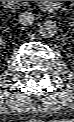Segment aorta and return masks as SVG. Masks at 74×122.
I'll return each mask as SVG.
<instances>
[{
    "label": "aorta",
    "instance_id": "aorta-1",
    "mask_svg": "<svg viewBox=\"0 0 74 122\" xmlns=\"http://www.w3.org/2000/svg\"><path fill=\"white\" fill-rule=\"evenodd\" d=\"M39 32L41 36L44 38L53 37L57 32L56 23L52 20H47L43 22L40 26Z\"/></svg>",
    "mask_w": 74,
    "mask_h": 122
}]
</instances>
